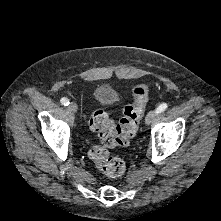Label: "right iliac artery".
I'll return each instance as SVG.
<instances>
[{
  "label": "right iliac artery",
  "mask_w": 221,
  "mask_h": 221,
  "mask_svg": "<svg viewBox=\"0 0 221 221\" xmlns=\"http://www.w3.org/2000/svg\"><path fill=\"white\" fill-rule=\"evenodd\" d=\"M60 102L64 106H68L69 105V100L67 98H65V97L61 98Z\"/></svg>",
  "instance_id": "82829eb1"
}]
</instances>
